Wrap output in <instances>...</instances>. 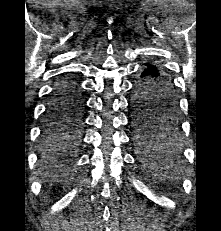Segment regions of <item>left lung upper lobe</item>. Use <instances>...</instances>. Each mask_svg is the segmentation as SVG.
Wrapping results in <instances>:
<instances>
[{
	"mask_svg": "<svg viewBox=\"0 0 221 231\" xmlns=\"http://www.w3.org/2000/svg\"><path fill=\"white\" fill-rule=\"evenodd\" d=\"M146 65L155 72V80L159 85L141 89V95L132 100V121L137 128L138 142H145L158 132H166L177 120V98L169 76L163 69L152 64ZM152 97H160L162 104L155 108L150 106L148 100Z\"/></svg>",
	"mask_w": 221,
	"mask_h": 231,
	"instance_id": "1",
	"label": "left lung upper lobe"
}]
</instances>
